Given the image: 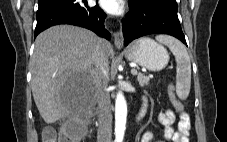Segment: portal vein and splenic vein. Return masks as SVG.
<instances>
[{
    "label": "portal vein and splenic vein",
    "instance_id": "portal-vein-and-splenic-vein-1",
    "mask_svg": "<svg viewBox=\"0 0 227 142\" xmlns=\"http://www.w3.org/2000/svg\"><path fill=\"white\" fill-rule=\"evenodd\" d=\"M131 73H132L134 76L138 74V73H137V70H135V69H133V70L131 71Z\"/></svg>",
    "mask_w": 227,
    "mask_h": 142
}]
</instances>
